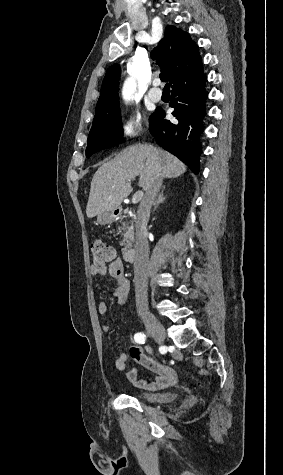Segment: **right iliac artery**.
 <instances>
[{"mask_svg":"<svg viewBox=\"0 0 283 475\" xmlns=\"http://www.w3.org/2000/svg\"><path fill=\"white\" fill-rule=\"evenodd\" d=\"M134 339L139 344H144L146 340V335L144 333H137L134 335Z\"/></svg>","mask_w":283,"mask_h":475,"instance_id":"right-iliac-artery-1","label":"right iliac artery"}]
</instances>
